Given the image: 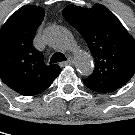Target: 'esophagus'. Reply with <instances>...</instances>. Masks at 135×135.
<instances>
[{
    "mask_svg": "<svg viewBox=\"0 0 135 135\" xmlns=\"http://www.w3.org/2000/svg\"><path fill=\"white\" fill-rule=\"evenodd\" d=\"M73 63H74V61H73V58H72V57H69V58L67 59V61L62 62L63 65H71V64H73Z\"/></svg>",
    "mask_w": 135,
    "mask_h": 135,
    "instance_id": "esophagus-1",
    "label": "esophagus"
}]
</instances>
